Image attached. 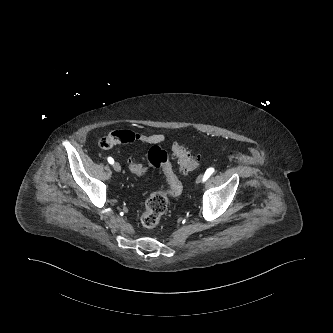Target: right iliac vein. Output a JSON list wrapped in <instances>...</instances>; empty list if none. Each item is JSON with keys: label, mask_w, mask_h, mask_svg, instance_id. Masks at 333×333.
I'll return each mask as SVG.
<instances>
[{"label": "right iliac vein", "mask_w": 333, "mask_h": 333, "mask_svg": "<svg viewBox=\"0 0 333 333\" xmlns=\"http://www.w3.org/2000/svg\"><path fill=\"white\" fill-rule=\"evenodd\" d=\"M113 168L116 172H118V173L121 172V165L118 162H115L113 164Z\"/></svg>", "instance_id": "right-iliac-vein-1"}]
</instances>
